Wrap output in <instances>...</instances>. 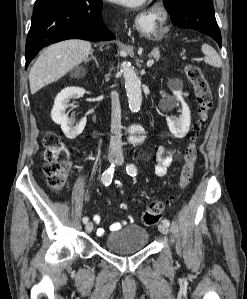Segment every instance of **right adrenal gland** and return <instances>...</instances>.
<instances>
[{"label": "right adrenal gland", "instance_id": "2a0ac1e0", "mask_svg": "<svg viewBox=\"0 0 247 299\" xmlns=\"http://www.w3.org/2000/svg\"><path fill=\"white\" fill-rule=\"evenodd\" d=\"M90 60H94L96 65L99 67L98 61H97L96 57L93 55V52H91V57L88 59V61H90Z\"/></svg>", "mask_w": 247, "mask_h": 299}]
</instances>
